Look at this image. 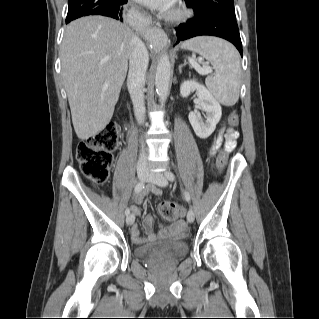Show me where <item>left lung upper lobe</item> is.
<instances>
[{
  "instance_id": "obj_1",
  "label": "left lung upper lobe",
  "mask_w": 319,
  "mask_h": 319,
  "mask_svg": "<svg viewBox=\"0 0 319 319\" xmlns=\"http://www.w3.org/2000/svg\"><path fill=\"white\" fill-rule=\"evenodd\" d=\"M195 16L220 15L236 20L233 0H185Z\"/></svg>"
}]
</instances>
